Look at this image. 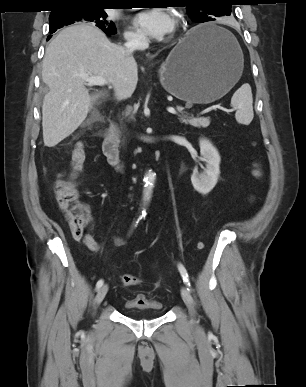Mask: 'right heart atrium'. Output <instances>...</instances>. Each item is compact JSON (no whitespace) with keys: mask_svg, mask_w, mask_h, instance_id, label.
Segmentation results:
<instances>
[{"mask_svg":"<svg viewBox=\"0 0 306 387\" xmlns=\"http://www.w3.org/2000/svg\"><path fill=\"white\" fill-rule=\"evenodd\" d=\"M125 39L129 42H140L143 40V36L135 31L127 30L124 34Z\"/></svg>","mask_w":306,"mask_h":387,"instance_id":"1","label":"right heart atrium"}]
</instances>
